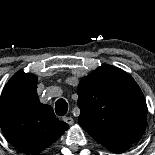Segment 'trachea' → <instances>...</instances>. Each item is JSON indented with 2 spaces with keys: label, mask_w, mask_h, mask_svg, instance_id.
Here are the masks:
<instances>
[{
  "label": "trachea",
  "mask_w": 155,
  "mask_h": 155,
  "mask_svg": "<svg viewBox=\"0 0 155 155\" xmlns=\"http://www.w3.org/2000/svg\"><path fill=\"white\" fill-rule=\"evenodd\" d=\"M68 111V104L64 99H58L55 104V112L59 116H64Z\"/></svg>",
  "instance_id": "trachea-1"
}]
</instances>
